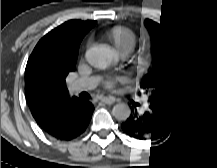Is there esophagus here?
<instances>
[{
    "mask_svg": "<svg viewBox=\"0 0 217 168\" xmlns=\"http://www.w3.org/2000/svg\"><path fill=\"white\" fill-rule=\"evenodd\" d=\"M105 101H106V102H111L112 99H111V98H106Z\"/></svg>",
    "mask_w": 217,
    "mask_h": 168,
    "instance_id": "1",
    "label": "esophagus"
}]
</instances>
